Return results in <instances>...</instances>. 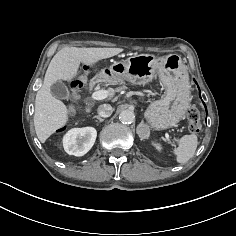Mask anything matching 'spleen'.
I'll list each match as a JSON object with an SVG mask.
<instances>
[{"label":"spleen","mask_w":236,"mask_h":236,"mask_svg":"<svg viewBox=\"0 0 236 236\" xmlns=\"http://www.w3.org/2000/svg\"><path fill=\"white\" fill-rule=\"evenodd\" d=\"M178 142V147L174 149L176 155V161L178 163H186L195 153L198 139L195 134L184 135L180 139H175Z\"/></svg>","instance_id":"obj_1"}]
</instances>
